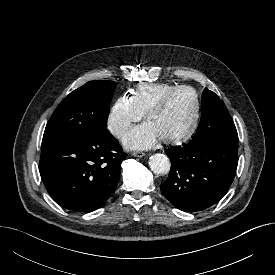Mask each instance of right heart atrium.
<instances>
[{
	"mask_svg": "<svg viewBox=\"0 0 275 275\" xmlns=\"http://www.w3.org/2000/svg\"><path fill=\"white\" fill-rule=\"evenodd\" d=\"M143 115L133 104L130 97L122 95L112 104L108 118V130L117 138H121L132 126L142 119Z\"/></svg>",
	"mask_w": 275,
	"mask_h": 275,
	"instance_id": "right-heart-atrium-1",
	"label": "right heart atrium"
}]
</instances>
